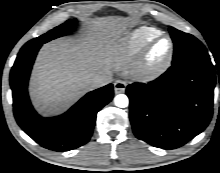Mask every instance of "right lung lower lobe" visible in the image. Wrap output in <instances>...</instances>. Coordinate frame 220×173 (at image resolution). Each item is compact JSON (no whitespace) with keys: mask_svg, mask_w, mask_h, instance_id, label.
Segmentation results:
<instances>
[{"mask_svg":"<svg viewBox=\"0 0 220 173\" xmlns=\"http://www.w3.org/2000/svg\"><path fill=\"white\" fill-rule=\"evenodd\" d=\"M40 47H22L11 69L10 85L16 121L44 148L55 151L76 149L89 141L97 112L113 98V85L89 92L61 116L41 117L33 109L27 92L30 71Z\"/></svg>","mask_w":220,"mask_h":173,"instance_id":"obj_1","label":"right lung lower lobe"}]
</instances>
